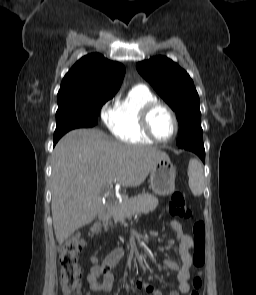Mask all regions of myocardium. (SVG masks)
I'll list each match as a JSON object with an SVG mask.
<instances>
[{
	"label": "myocardium",
	"instance_id": "myocardium-1",
	"mask_svg": "<svg viewBox=\"0 0 256 295\" xmlns=\"http://www.w3.org/2000/svg\"><path fill=\"white\" fill-rule=\"evenodd\" d=\"M158 108H162L164 110H166L169 115L171 116L173 123H174V131L173 134L170 138L162 140L159 139L153 132L152 127H151V116L153 114V112L158 109ZM141 127L144 131V133L155 143H159V144H167L169 142H171L177 135L178 131H179V121L178 118L176 116V113L174 112V110L168 106L167 104L160 102V101H155L152 103H149L148 105H146L142 112H141Z\"/></svg>",
	"mask_w": 256,
	"mask_h": 295
}]
</instances>
